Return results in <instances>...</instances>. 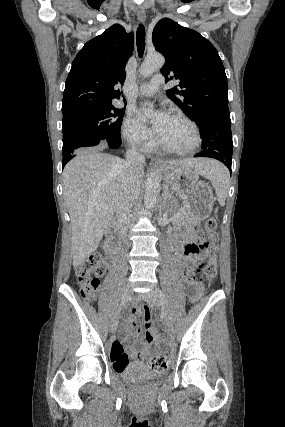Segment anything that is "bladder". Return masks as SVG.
Segmentation results:
<instances>
[{"instance_id": "bladder-1", "label": "bladder", "mask_w": 285, "mask_h": 427, "mask_svg": "<svg viewBox=\"0 0 285 427\" xmlns=\"http://www.w3.org/2000/svg\"><path fill=\"white\" fill-rule=\"evenodd\" d=\"M115 374L134 386H141L151 382H161L167 376L165 371L154 372L139 363H130L122 370L116 371Z\"/></svg>"}]
</instances>
